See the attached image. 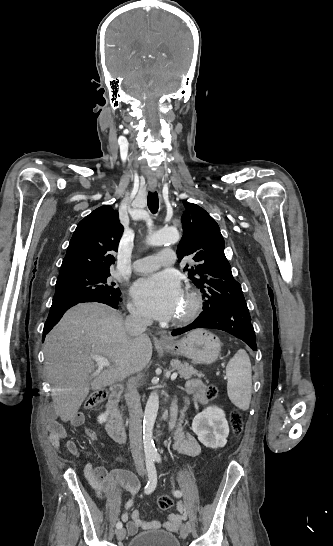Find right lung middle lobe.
Returning a JSON list of instances; mask_svg holds the SVG:
<instances>
[{"label":"right lung middle lobe","mask_w":333,"mask_h":546,"mask_svg":"<svg viewBox=\"0 0 333 546\" xmlns=\"http://www.w3.org/2000/svg\"><path fill=\"white\" fill-rule=\"evenodd\" d=\"M109 276L110 271L79 272L60 276L57 278L53 302L101 295L120 297L121 291L114 286L115 283L107 281Z\"/></svg>","instance_id":"1"}]
</instances>
